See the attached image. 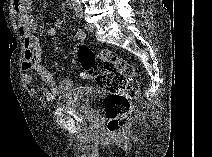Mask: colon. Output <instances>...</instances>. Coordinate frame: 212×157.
<instances>
[{
  "instance_id": "obj_1",
  "label": "colon",
  "mask_w": 212,
  "mask_h": 157,
  "mask_svg": "<svg viewBox=\"0 0 212 157\" xmlns=\"http://www.w3.org/2000/svg\"><path fill=\"white\" fill-rule=\"evenodd\" d=\"M82 76L90 78L108 92L106 102L107 132L117 137L130 121L132 102L140 91L136 72L124 58L110 50L94 51L86 45L75 47Z\"/></svg>"
}]
</instances>
